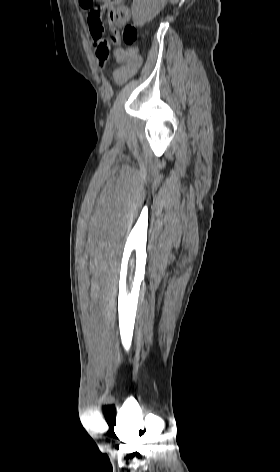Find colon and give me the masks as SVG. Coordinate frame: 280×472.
<instances>
[{"label":"colon","instance_id":"5ec220e1","mask_svg":"<svg viewBox=\"0 0 280 472\" xmlns=\"http://www.w3.org/2000/svg\"><path fill=\"white\" fill-rule=\"evenodd\" d=\"M119 1L120 0H110L109 2L115 3ZM81 2L83 6L87 8V10H90L89 15H88V22L93 25L101 23L102 15H103V7L102 6L93 7L94 0H82ZM137 36H138V32L134 25L128 24L124 27L121 37H122L123 42L127 46L125 51L128 55L136 54V48L134 44L137 40Z\"/></svg>","mask_w":280,"mask_h":472}]
</instances>
